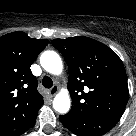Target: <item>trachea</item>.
<instances>
[{
    "mask_svg": "<svg viewBox=\"0 0 136 136\" xmlns=\"http://www.w3.org/2000/svg\"><path fill=\"white\" fill-rule=\"evenodd\" d=\"M42 85L47 89L51 88L52 85H53L52 79L50 77H48V76H45L42 79Z\"/></svg>",
    "mask_w": 136,
    "mask_h": 136,
    "instance_id": "1",
    "label": "trachea"
}]
</instances>
